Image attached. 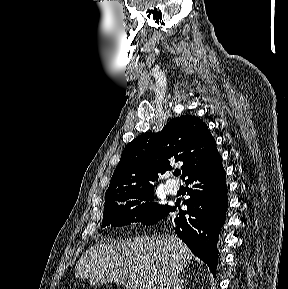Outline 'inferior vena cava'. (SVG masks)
Segmentation results:
<instances>
[{
    "label": "inferior vena cava",
    "mask_w": 288,
    "mask_h": 289,
    "mask_svg": "<svg viewBox=\"0 0 288 289\" xmlns=\"http://www.w3.org/2000/svg\"><path fill=\"white\" fill-rule=\"evenodd\" d=\"M180 279L179 270L175 264H170L163 271L162 279L159 283V289H179Z\"/></svg>",
    "instance_id": "602c4592"
}]
</instances>
